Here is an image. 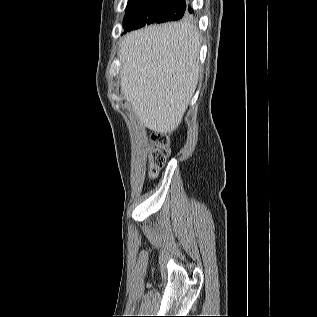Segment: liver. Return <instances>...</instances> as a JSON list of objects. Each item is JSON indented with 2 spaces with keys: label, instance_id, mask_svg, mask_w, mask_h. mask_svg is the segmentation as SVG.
<instances>
[{
  "label": "liver",
  "instance_id": "obj_1",
  "mask_svg": "<svg viewBox=\"0 0 317 317\" xmlns=\"http://www.w3.org/2000/svg\"><path fill=\"white\" fill-rule=\"evenodd\" d=\"M200 35L187 21L152 25L128 33L119 48L121 90L140 122L171 134L195 92Z\"/></svg>",
  "mask_w": 317,
  "mask_h": 317
}]
</instances>
